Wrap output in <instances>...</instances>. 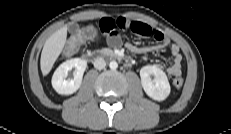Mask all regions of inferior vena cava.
I'll return each instance as SVG.
<instances>
[{
	"label": "inferior vena cava",
	"instance_id": "obj_1",
	"mask_svg": "<svg viewBox=\"0 0 231 134\" xmlns=\"http://www.w3.org/2000/svg\"><path fill=\"white\" fill-rule=\"evenodd\" d=\"M106 62L102 57L96 58L94 60V67L98 70L105 68Z\"/></svg>",
	"mask_w": 231,
	"mask_h": 134
}]
</instances>
